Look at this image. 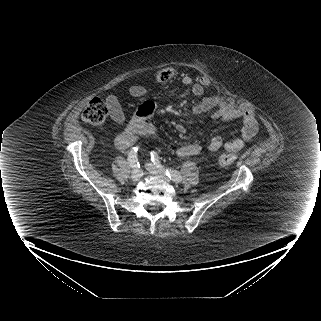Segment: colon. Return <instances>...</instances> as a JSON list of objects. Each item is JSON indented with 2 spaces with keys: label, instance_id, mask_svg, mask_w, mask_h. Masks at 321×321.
<instances>
[{
  "label": "colon",
  "instance_id": "1",
  "mask_svg": "<svg viewBox=\"0 0 321 321\" xmlns=\"http://www.w3.org/2000/svg\"><path fill=\"white\" fill-rule=\"evenodd\" d=\"M174 76V71L171 68L165 67L158 71L157 80L160 82H168ZM196 83L203 87L209 85L210 80L205 75L198 76ZM109 110L106 103L100 98L91 99L85 108L82 110V120L90 125L100 126L105 123ZM237 159L234 153H224L218 156L217 163L222 167L232 165Z\"/></svg>",
  "mask_w": 321,
  "mask_h": 321
}]
</instances>
